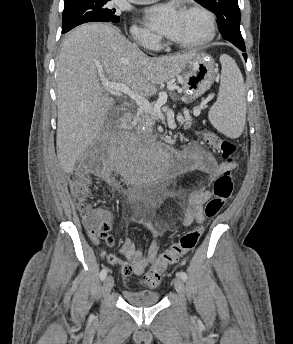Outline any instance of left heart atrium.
Wrapping results in <instances>:
<instances>
[{"label": "left heart atrium", "mask_w": 293, "mask_h": 344, "mask_svg": "<svg viewBox=\"0 0 293 344\" xmlns=\"http://www.w3.org/2000/svg\"><path fill=\"white\" fill-rule=\"evenodd\" d=\"M179 14L171 4L156 5L144 11V21L152 30L169 37L176 27Z\"/></svg>", "instance_id": "obj_1"}]
</instances>
